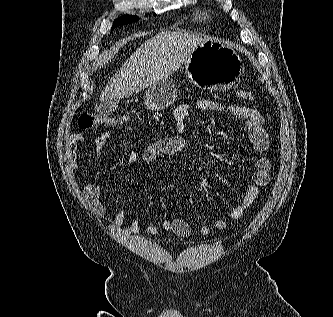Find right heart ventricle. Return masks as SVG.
I'll return each instance as SVG.
<instances>
[{
    "label": "right heart ventricle",
    "instance_id": "obj_1",
    "mask_svg": "<svg viewBox=\"0 0 333 317\" xmlns=\"http://www.w3.org/2000/svg\"><path fill=\"white\" fill-rule=\"evenodd\" d=\"M206 13L205 12H200L199 14V17L202 19V20H205L206 19Z\"/></svg>",
    "mask_w": 333,
    "mask_h": 317
}]
</instances>
